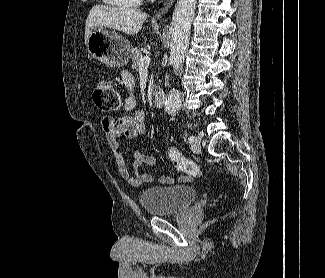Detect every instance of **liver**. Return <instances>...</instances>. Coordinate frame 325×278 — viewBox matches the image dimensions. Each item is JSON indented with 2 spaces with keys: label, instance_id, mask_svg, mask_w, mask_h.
<instances>
[{
  "label": "liver",
  "instance_id": "liver-1",
  "mask_svg": "<svg viewBox=\"0 0 325 278\" xmlns=\"http://www.w3.org/2000/svg\"><path fill=\"white\" fill-rule=\"evenodd\" d=\"M147 14L138 9L95 5L85 24V44L93 30L108 27L128 35L137 34Z\"/></svg>",
  "mask_w": 325,
  "mask_h": 278
}]
</instances>
